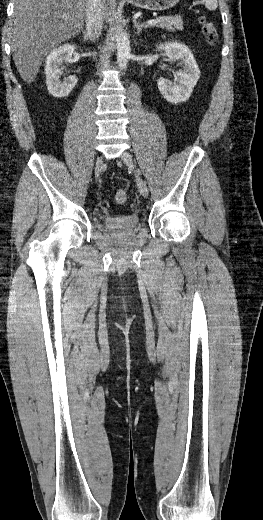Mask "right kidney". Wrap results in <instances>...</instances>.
I'll use <instances>...</instances> for the list:
<instances>
[{
  "label": "right kidney",
  "instance_id": "obj_1",
  "mask_svg": "<svg viewBox=\"0 0 263 520\" xmlns=\"http://www.w3.org/2000/svg\"><path fill=\"white\" fill-rule=\"evenodd\" d=\"M76 48L75 45L64 44L53 49L46 57V85L48 92L56 98L68 96L77 84L78 79L74 75L65 77L63 81L60 80L63 73L62 64L70 61Z\"/></svg>",
  "mask_w": 263,
  "mask_h": 520
}]
</instances>
